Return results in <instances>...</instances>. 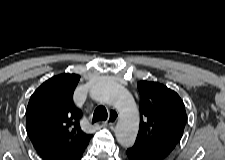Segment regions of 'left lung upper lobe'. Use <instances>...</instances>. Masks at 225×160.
I'll use <instances>...</instances> for the list:
<instances>
[{"label":"left lung upper lobe","mask_w":225,"mask_h":160,"mask_svg":"<svg viewBox=\"0 0 225 160\" xmlns=\"http://www.w3.org/2000/svg\"><path fill=\"white\" fill-rule=\"evenodd\" d=\"M140 128L133 150L163 160L179 144L186 123L185 106L179 95L157 82L140 81Z\"/></svg>","instance_id":"obj_1"}]
</instances>
